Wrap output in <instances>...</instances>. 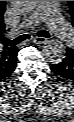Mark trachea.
Returning a JSON list of instances; mask_svg holds the SVG:
<instances>
[{"label":"trachea","mask_w":74,"mask_h":122,"mask_svg":"<svg viewBox=\"0 0 74 122\" xmlns=\"http://www.w3.org/2000/svg\"><path fill=\"white\" fill-rule=\"evenodd\" d=\"M37 35L39 37H45V38H49L50 37V34L46 30L38 31ZM29 38H30L29 34H23V35H20L19 37L15 38L14 40L4 39V43H5L6 46H16L19 43H21L22 41H25V40H27Z\"/></svg>","instance_id":"3493384b"}]
</instances>
